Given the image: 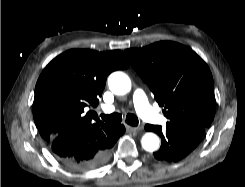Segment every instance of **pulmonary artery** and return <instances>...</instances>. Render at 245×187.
Wrapping results in <instances>:
<instances>
[{"label":"pulmonary artery","instance_id":"obj_1","mask_svg":"<svg viewBox=\"0 0 245 187\" xmlns=\"http://www.w3.org/2000/svg\"><path fill=\"white\" fill-rule=\"evenodd\" d=\"M133 104L137 113L145 120L155 123V124H164L167 119L159 114L152 106L150 105L147 96L141 89H136L132 95ZM113 106H105L103 111L105 113H112L114 111Z\"/></svg>","mask_w":245,"mask_h":187}]
</instances>
